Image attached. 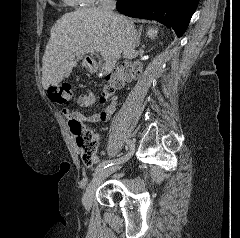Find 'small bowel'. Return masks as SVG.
I'll return each instance as SVG.
<instances>
[{
    "label": "small bowel",
    "mask_w": 240,
    "mask_h": 238,
    "mask_svg": "<svg viewBox=\"0 0 240 238\" xmlns=\"http://www.w3.org/2000/svg\"><path fill=\"white\" fill-rule=\"evenodd\" d=\"M110 104L102 111L99 113H95L91 116H84L78 111H71L69 109H64L63 114L66 117L67 120L69 119H77L81 123L83 121H88L91 123H100V122H105L111 118V116L115 113L116 108H117V97L112 96L109 98ZM77 103L81 107H89L92 106L95 103V96L91 90H87L84 94H81L78 99ZM95 139L97 142H99L100 137L95 134ZM106 157V156H105ZM93 160L96 161L95 165L99 166L100 162L102 161V158L99 157L98 154H95L93 157Z\"/></svg>",
    "instance_id": "small-bowel-1"
}]
</instances>
